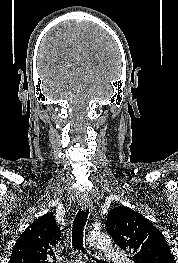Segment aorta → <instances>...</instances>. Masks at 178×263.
<instances>
[{"label":"aorta","mask_w":178,"mask_h":263,"mask_svg":"<svg viewBox=\"0 0 178 263\" xmlns=\"http://www.w3.org/2000/svg\"><path fill=\"white\" fill-rule=\"evenodd\" d=\"M88 242L99 249L108 250L111 247V240L108 235L104 233L94 232L88 237Z\"/></svg>","instance_id":"1"}]
</instances>
